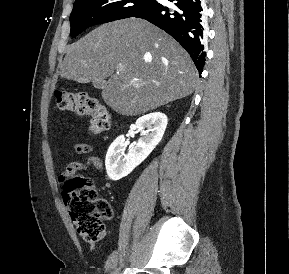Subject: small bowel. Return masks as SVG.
<instances>
[{
    "mask_svg": "<svg viewBox=\"0 0 289 274\" xmlns=\"http://www.w3.org/2000/svg\"><path fill=\"white\" fill-rule=\"evenodd\" d=\"M93 147L88 143H77L72 147V152L77 155H87L84 160H74L71 161L64 172L59 176V182L64 184V182L71 177H73L77 172L86 170L90 166H93L97 170L103 169L102 160L92 155Z\"/></svg>",
    "mask_w": 289,
    "mask_h": 274,
    "instance_id": "obj_1",
    "label": "small bowel"
}]
</instances>
